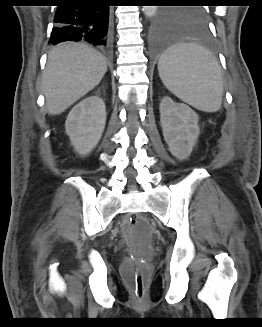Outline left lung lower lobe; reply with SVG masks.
Segmentation results:
<instances>
[{"label":"left lung lower lobe","mask_w":262,"mask_h":327,"mask_svg":"<svg viewBox=\"0 0 262 327\" xmlns=\"http://www.w3.org/2000/svg\"><path fill=\"white\" fill-rule=\"evenodd\" d=\"M178 30L179 25L170 22L163 12L149 32L150 51L152 53H160L168 50L178 41ZM193 34L204 45H207L210 41L206 25L194 28Z\"/></svg>","instance_id":"left-lung-lower-lobe-1"}]
</instances>
